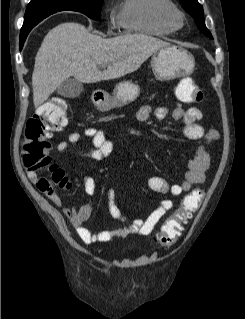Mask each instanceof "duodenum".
Here are the masks:
<instances>
[{
    "label": "duodenum",
    "instance_id": "obj_1",
    "mask_svg": "<svg viewBox=\"0 0 245 319\" xmlns=\"http://www.w3.org/2000/svg\"><path fill=\"white\" fill-rule=\"evenodd\" d=\"M100 102H101V100L99 99V97L95 99L96 104H99Z\"/></svg>",
    "mask_w": 245,
    "mask_h": 319
}]
</instances>
